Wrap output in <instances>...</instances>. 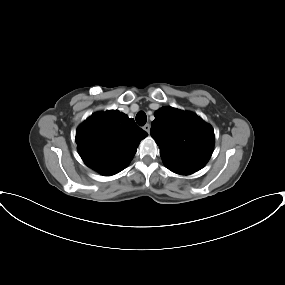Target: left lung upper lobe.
Listing matches in <instances>:
<instances>
[{
  "label": "left lung upper lobe",
  "mask_w": 285,
  "mask_h": 285,
  "mask_svg": "<svg viewBox=\"0 0 285 285\" xmlns=\"http://www.w3.org/2000/svg\"><path fill=\"white\" fill-rule=\"evenodd\" d=\"M151 136L168 168L196 172L210 159L214 130L192 112L163 107L154 113Z\"/></svg>",
  "instance_id": "left-lung-upper-lobe-1"
}]
</instances>
